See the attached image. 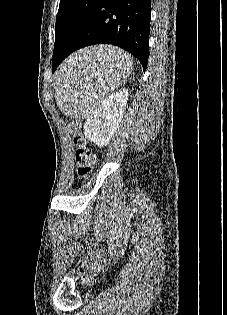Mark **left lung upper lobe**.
<instances>
[{"instance_id":"obj_1","label":"left lung upper lobe","mask_w":227,"mask_h":315,"mask_svg":"<svg viewBox=\"0 0 227 315\" xmlns=\"http://www.w3.org/2000/svg\"><path fill=\"white\" fill-rule=\"evenodd\" d=\"M101 0H60L56 26L54 53L63 51L88 20ZM53 53V55H54Z\"/></svg>"}]
</instances>
